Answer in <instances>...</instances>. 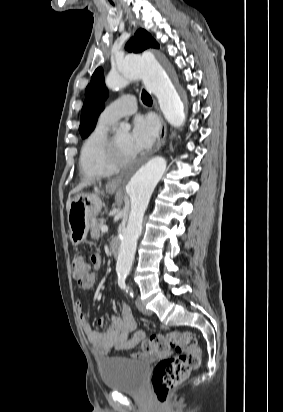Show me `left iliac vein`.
Instances as JSON below:
<instances>
[{
  "mask_svg": "<svg viewBox=\"0 0 283 412\" xmlns=\"http://www.w3.org/2000/svg\"><path fill=\"white\" fill-rule=\"evenodd\" d=\"M135 303H136L137 309H138L142 314L148 315V316H149V315H152V312L145 307L144 303H143L139 298H136Z\"/></svg>",
  "mask_w": 283,
  "mask_h": 412,
  "instance_id": "1",
  "label": "left iliac vein"
}]
</instances>
